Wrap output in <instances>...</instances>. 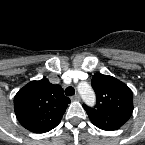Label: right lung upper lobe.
<instances>
[{"label":"right lung upper lobe","instance_id":"right-lung-upper-lobe-1","mask_svg":"<svg viewBox=\"0 0 145 145\" xmlns=\"http://www.w3.org/2000/svg\"><path fill=\"white\" fill-rule=\"evenodd\" d=\"M70 99L60 85L48 79L31 81L14 97V110L20 124L34 133H45L55 128Z\"/></svg>","mask_w":145,"mask_h":145}]
</instances>
